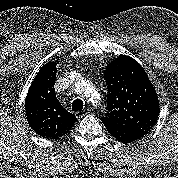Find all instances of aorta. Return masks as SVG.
<instances>
[{
  "label": "aorta",
  "mask_w": 178,
  "mask_h": 178,
  "mask_svg": "<svg viewBox=\"0 0 178 178\" xmlns=\"http://www.w3.org/2000/svg\"><path fill=\"white\" fill-rule=\"evenodd\" d=\"M76 88L80 91H85V93L92 92V95L96 94L95 88L86 80H81L77 82Z\"/></svg>",
  "instance_id": "1"
}]
</instances>
